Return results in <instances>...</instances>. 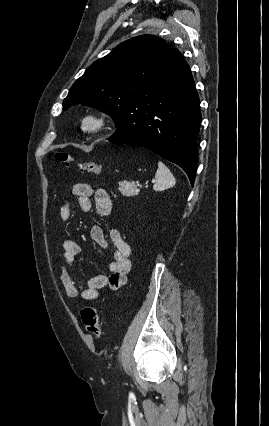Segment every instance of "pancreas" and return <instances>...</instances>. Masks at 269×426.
Wrapping results in <instances>:
<instances>
[{"label": "pancreas", "mask_w": 269, "mask_h": 426, "mask_svg": "<svg viewBox=\"0 0 269 426\" xmlns=\"http://www.w3.org/2000/svg\"><path fill=\"white\" fill-rule=\"evenodd\" d=\"M118 190L121 192V194L123 196H136L138 194L137 190V186L135 183H130L127 181H121L119 183V188Z\"/></svg>", "instance_id": "pancreas-1"}]
</instances>
